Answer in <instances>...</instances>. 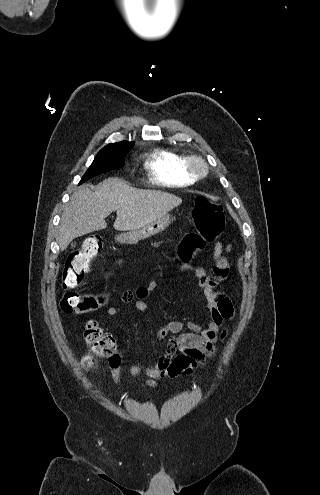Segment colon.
<instances>
[{
    "label": "colon",
    "instance_id": "5ec220e1",
    "mask_svg": "<svg viewBox=\"0 0 320 495\" xmlns=\"http://www.w3.org/2000/svg\"><path fill=\"white\" fill-rule=\"evenodd\" d=\"M192 216L196 230L185 233L179 243L177 257L183 263L191 262L208 243L217 239L224 231L225 222L222 206L204 196L195 199ZM103 238L98 234L89 235L81 247L72 252L65 263L62 285L67 290L61 297V309L68 313H87L103 302L102 298L76 292L85 275L90 271L92 261L101 253ZM84 340L89 353L82 359L86 368H93L97 358H108L110 363L118 361L115 339L105 333L95 322H89L84 329Z\"/></svg>",
    "mask_w": 320,
    "mask_h": 495
}]
</instances>
